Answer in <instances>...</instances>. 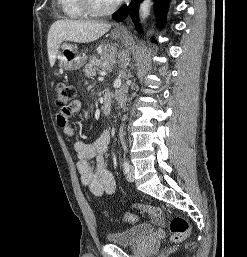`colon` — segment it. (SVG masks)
<instances>
[{"label":"colon","instance_id":"obj_1","mask_svg":"<svg viewBox=\"0 0 247 257\" xmlns=\"http://www.w3.org/2000/svg\"><path fill=\"white\" fill-rule=\"evenodd\" d=\"M56 105L60 111H67L74 98L76 97V89L67 83L59 82L55 86ZM136 209L141 213L151 215L155 219H161L165 212L157 206L137 204ZM137 220L136 214H127L125 221L134 223ZM169 229L171 233L170 241L172 243H180L190 234V224L182 216L174 215L171 217Z\"/></svg>","mask_w":247,"mask_h":257}]
</instances>
